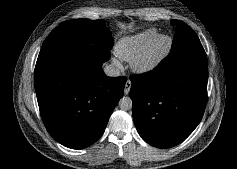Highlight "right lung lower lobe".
<instances>
[{
	"label": "right lung lower lobe",
	"mask_w": 237,
	"mask_h": 169,
	"mask_svg": "<svg viewBox=\"0 0 237 169\" xmlns=\"http://www.w3.org/2000/svg\"><path fill=\"white\" fill-rule=\"evenodd\" d=\"M110 50L82 43L42 46L35 67V90L42 120L60 144L86 148L103 134L123 96L126 78L108 77L102 63Z\"/></svg>",
	"instance_id": "98d812e1"
}]
</instances>
